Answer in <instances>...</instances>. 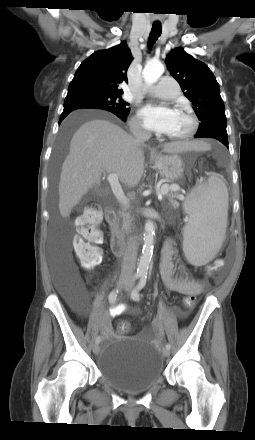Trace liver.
Here are the masks:
<instances>
[{"mask_svg":"<svg viewBox=\"0 0 255 440\" xmlns=\"http://www.w3.org/2000/svg\"><path fill=\"white\" fill-rule=\"evenodd\" d=\"M201 141H176L163 146L164 153L203 150ZM143 144L118 125L104 119H91L74 133L69 154L62 165L59 182V211L67 218L84 194L100 184L103 172L115 173L132 188L144 172Z\"/></svg>","mask_w":255,"mask_h":440,"instance_id":"6515ba94","label":"liver"}]
</instances>
